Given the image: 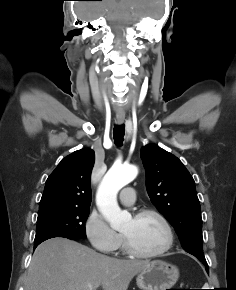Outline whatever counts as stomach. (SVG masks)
I'll list each match as a JSON object with an SVG mask.
<instances>
[{"label": "stomach", "instance_id": "0dacf381", "mask_svg": "<svg viewBox=\"0 0 236 290\" xmlns=\"http://www.w3.org/2000/svg\"><path fill=\"white\" fill-rule=\"evenodd\" d=\"M178 278L176 266L156 260L138 273L136 283L141 290H167L172 289Z\"/></svg>", "mask_w": 236, "mask_h": 290}]
</instances>
